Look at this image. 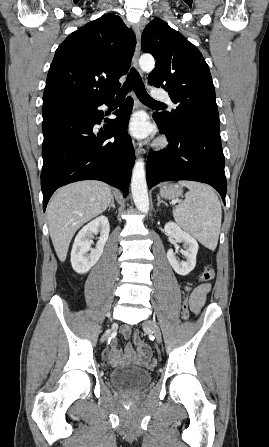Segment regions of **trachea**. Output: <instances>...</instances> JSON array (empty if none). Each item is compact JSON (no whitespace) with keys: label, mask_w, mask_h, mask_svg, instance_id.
<instances>
[{"label":"trachea","mask_w":269,"mask_h":447,"mask_svg":"<svg viewBox=\"0 0 269 447\" xmlns=\"http://www.w3.org/2000/svg\"><path fill=\"white\" fill-rule=\"evenodd\" d=\"M134 90L139 100L146 105H165L153 100L145 90L144 83L135 69H131L122 90L118 93L117 100H123L125 95Z\"/></svg>","instance_id":"trachea-1"}]
</instances>
